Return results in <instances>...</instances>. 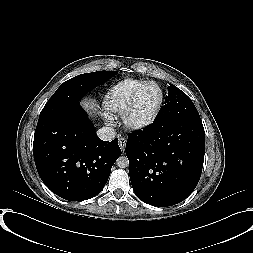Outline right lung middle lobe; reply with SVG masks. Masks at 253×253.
<instances>
[{
    "mask_svg": "<svg viewBox=\"0 0 253 253\" xmlns=\"http://www.w3.org/2000/svg\"><path fill=\"white\" fill-rule=\"evenodd\" d=\"M117 71H97L78 75L64 82L48 100L40 113V118L54 115L78 104L85 93L115 76Z\"/></svg>",
    "mask_w": 253,
    "mask_h": 253,
    "instance_id": "right-lung-middle-lobe-1",
    "label": "right lung middle lobe"
}]
</instances>
